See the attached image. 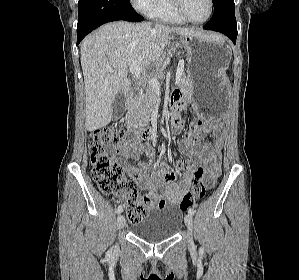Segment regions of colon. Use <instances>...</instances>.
Listing matches in <instances>:
<instances>
[{"mask_svg":"<svg viewBox=\"0 0 299 280\" xmlns=\"http://www.w3.org/2000/svg\"><path fill=\"white\" fill-rule=\"evenodd\" d=\"M202 121L194 119L188 125L185 136H196L202 133ZM127 132L123 128L104 127L93 131L90 135V153L92 177L98 184L99 189L108 195H113L125 205L127 220L136 223L142 220L147 213V204L140 197L137 184L124 176L121 163L112 158L106 148L118 145L127 138ZM180 168H187L188 163L182 162ZM204 169L199 166L195 170V181L190 192H188L180 203V209L186 211L198 200H201L212 183L204 180Z\"/></svg>","mask_w":299,"mask_h":280,"instance_id":"1","label":"colon"}]
</instances>
